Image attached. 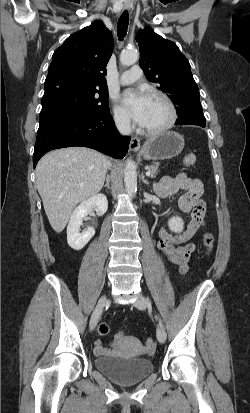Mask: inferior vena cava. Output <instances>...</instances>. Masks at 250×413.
Segmentation results:
<instances>
[{
	"label": "inferior vena cava",
	"instance_id": "obj_1",
	"mask_svg": "<svg viewBox=\"0 0 250 413\" xmlns=\"http://www.w3.org/2000/svg\"><path fill=\"white\" fill-rule=\"evenodd\" d=\"M116 127L122 135H129L131 133L130 120L126 117H118L115 120ZM111 163L109 162L108 167Z\"/></svg>",
	"mask_w": 250,
	"mask_h": 413
}]
</instances>
